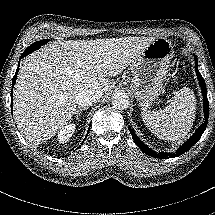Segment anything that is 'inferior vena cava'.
I'll use <instances>...</instances> for the list:
<instances>
[{
  "instance_id": "1",
  "label": "inferior vena cava",
  "mask_w": 215,
  "mask_h": 215,
  "mask_svg": "<svg viewBox=\"0 0 215 215\" xmlns=\"http://www.w3.org/2000/svg\"><path fill=\"white\" fill-rule=\"evenodd\" d=\"M102 91L79 92L75 97V103L81 108H87L93 103H96L102 97Z\"/></svg>"
}]
</instances>
